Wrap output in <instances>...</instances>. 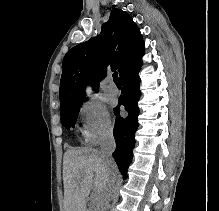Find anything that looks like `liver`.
Listing matches in <instances>:
<instances>
[{"label": "liver", "instance_id": "6515ba94", "mask_svg": "<svg viewBox=\"0 0 219 211\" xmlns=\"http://www.w3.org/2000/svg\"><path fill=\"white\" fill-rule=\"evenodd\" d=\"M112 165V163H111ZM97 149H68L63 159L64 209L88 211L87 197L94 185L97 209L109 207L118 175ZM114 177V181H113Z\"/></svg>", "mask_w": 219, "mask_h": 211}]
</instances>
